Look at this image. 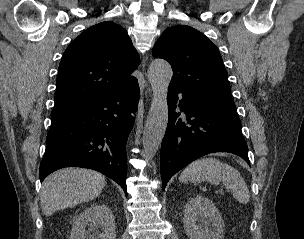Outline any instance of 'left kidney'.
<instances>
[{"mask_svg":"<svg viewBox=\"0 0 304 239\" xmlns=\"http://www.w3.org/2000/svg\"><path fill=\"white\" fill-rule=\"evenodd\" d=\"M183 224L189 239H222L224 221L215 204L203 196L191 198L185 205Z\"/></svg>","mask_w":304,"mask_h":239,"instance_id":"5707ae66","label":"left kidney"}]
</instances>
